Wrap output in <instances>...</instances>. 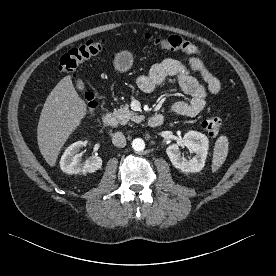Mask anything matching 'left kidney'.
Wrapping results in <instances>:
<instances>
[{
    "mask_svg": "<svg viewBox=\"0 0 276 276\" xmlns=\"http://www.w3.org/2000/svg\"><path fill=\"white\" fill-rule=\"evenodd\" d=\"M187 147L195 153L191 159L187 160L181 155L179 147ZM209 148L208 138L197 131L187 132L182 141L167 147L166 153L172 165L183 172L195 173L202 170L205 165Z\"/></svg>",
    "mask_w": 276,
    "mask_h": 276,
    "instance_id": "obj_1",
    "label": "left kidney"
}]
</instances>
